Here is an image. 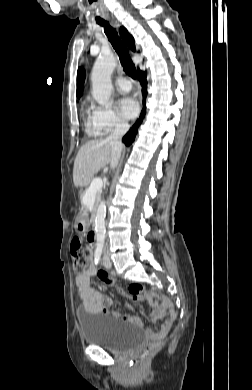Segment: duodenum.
<instances>
[{"mask_svg":"<svg viewBox=\"0 0 252 390\" xmlns=\"http://www.w3.org/2000/svg\"><path fill=\"white\" fill-rule=\"evenodd\" d=\"M95 241H96V233H95L94 229H92V230L90 231V243H91V244H94Z\"/></svg>","mask_w":252,"mask_h":390,"instance_id":"duodenum-1","label":"duodenum"}]
</instances>
